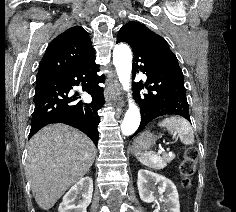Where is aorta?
<instances>
[{
  "instance_id": "obj_1",
  "label": "aorta",
  "mask_w": 236,
  "mask_h": 212,
  "mask_svg": "<svg viewBox=\"0 0 236 212\" xmlns=\"http://www.w3.org/2000/svg\"><path fill=\"white\" fill-rule=\"evenodd\" d=\"M113 64L123 89L128 92L129 107L121 122V132L123 135L128 136L138 129L141 121L140 111L132 100L130 93L132 53L128 45L120 43L115 46L113 50Z\"/></svg>"
}]
</instances>
